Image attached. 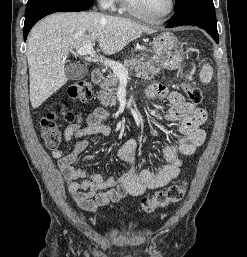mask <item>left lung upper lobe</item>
I'll use <instances>...</instances> for the list:
<instances>
[{"label":"left lung upper lobe","instance_id":"1","mask_svg":"<svg viewBox=\"0 0 247 257\" xmlns=\"http://www.w3.org/2000/svg\"><path fill=\"white\" fill-rule=\"evenodd\" d=\"M176 1V10L191 4L193 2H197V1H208V2H212V0H175Z\"/></svg>","mask_w":247,"mask_h":257}]
</instances>
